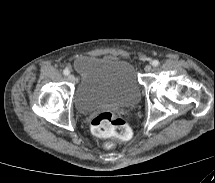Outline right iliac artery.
<instances>
[{"label":"right iliac artery","mask_w":215,"mask_h":183,"mask_svg":"<svg viewBox=\"0 0 215 183\" xmlns=\"http://www.w3.org/2000/svg\"><path fill=\"white\" fill-rule=\"evenodd\" d=\"M70 71L68 69H64L63 74L64 75H69Z\"/></svg>","instance_id":"1"}]
</instances>
